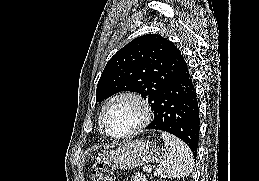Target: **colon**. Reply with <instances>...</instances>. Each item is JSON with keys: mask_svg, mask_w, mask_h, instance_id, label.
<instances>
[{"mask_svg": "<svg viewBox=\"0 0 259 181\" xmlns=\"http://www.w3.org/2000/svg\"><path fill=\"white\" fill-rule=\"evenodd\" d=\"M92 181H112L111 172L104 166H98L92 171Z\"/></svg>", "mask_w": 259, "mask_h": 181, "instance_id": "5ec220e1", "label": "colon"}]
</instances>
